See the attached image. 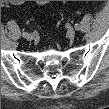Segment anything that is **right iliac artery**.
Masks as SVG:
<instances>
[{
    "mask_svg": "<svg viewBox=\"0 0 109 109\" xmlns=\"http://www.w3.org/2000/svg\"><path fill=\"white\" fill-rule=\"evenodd\" d=\"M27 34H28L27 32H24L23 33V37L25 38Z\"/></svg>",
    "mask_w": 109,
    "mask_h": 109,
    "instance_id": "right-iliac-artery-1",
    "label": "right iliac artery"
}]
</instances>
